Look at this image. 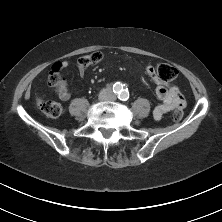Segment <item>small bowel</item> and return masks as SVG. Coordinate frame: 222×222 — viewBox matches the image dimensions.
<instances>
[{
    "label": "small bowel",
    "mask_w": 222,
    "mask_h": 222,
    "mask_svg": "<svg viewBox=\"0 0 222 222\" xmlns=\"http://www.w3.org/2000/svg\"><path fill=\"white\" fill-rule=\"evenodd\" d=\"M61 68H65L68 66L67 62L60 63ZM147 73L154 79V84L157 85L156 94L160 99L161 103L158 104L153 110V116L156 120H160L162 116L178 107H184L185 99L182 93L176 86H169L167 83H164L162 80V75L158 73L154 67L148 66ZM78 72L81 77L85 75V68L81 65L78 66ZM57 94L60 99L66 101L71 97V93L68 87V84L65 81H61L58 88Z\"/></svg>",
    "instance_id": "c3829d8e"
}]
</instances>
